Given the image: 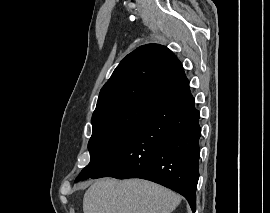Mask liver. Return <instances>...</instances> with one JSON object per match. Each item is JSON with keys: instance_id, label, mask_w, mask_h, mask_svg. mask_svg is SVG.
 <instances>
[{"instance_id": "1", "label": "liver", "mask_w": 270, "mask_h": 213, "mask_svg": "<svg viewBox=\"0 0 270 213\" xmlns=\"http://www.w3.org/2000/svg\"><path fill=\"white\" fill-rule=\"evenodd\" d=\"M181 202L173 191L155 183L101 179L84 194V213H171Z\"/></svg>"}]
</instances>
